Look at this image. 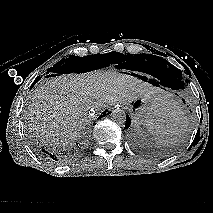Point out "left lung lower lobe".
Returning <instances> with one entry per match:
<instances>
[{
	"mask_svg": "<svg viewBox=\"0 0 213 213\" xmlns=\"http://www.w3.org/2000/svg\"><path fill=\"white\" fill-rule=\"evenodd\" d=\"M154 77L153 80H150L149 83H151L154 86H162L165 88H171L174 90L175 86L173 85V83L166 77L163 76H157V75H152ZM143 80H147L145 77H141ZM184 101V99H182ZM131 124V120L130 117L127 115L126 118V124H125V128H128Z\"/></svg>",
	"mask_w": 213,
	"mask_h": 213,
	"instance_id": "1",
	"label": "left lung lower lobe"
}]
</instances>
